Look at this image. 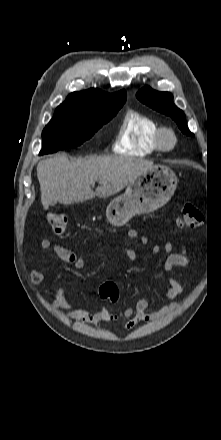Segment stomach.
I'll use <instances>...</instances> for the list:
<instances>
[{
	"instance_id": "stomach-1",
	"label": "stomach",
	"mask_w": 221,
	"mask_h": 440,
	"mask_svg": "<svg viewBox=\"0 0 221 440\" xmlns=\"http://www.w3.org/2000/svg\"><path fill=\"white\" fill-rule=\"evenodd\" d=\"M175 173L164 165H153L131 181L125 192L114 198L106 209L108 221L116 227L134 215L153 212L166 204L177 187Z\"/></svg>"
}]
</instances>
